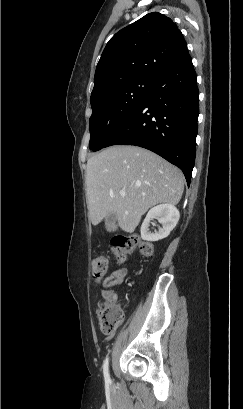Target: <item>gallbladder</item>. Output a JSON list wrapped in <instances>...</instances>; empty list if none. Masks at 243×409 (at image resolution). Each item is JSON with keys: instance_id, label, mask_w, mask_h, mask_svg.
Masks as SVG:
<instances>
[{"instance_id": "1", "label": "gallbladder", "mask_w": 243, "mask_h": 409, "mask_svg": "<svg viewBox=\"0 0 243 409\" xmlns=\"http://www.w3.org/2000/svg\"><path fill=\"white\" fill-rule=\"evenodd\" d=\"M116 215L111 214L106 218V229L107 231H111L116 223Z\"/></svg>"}]
</instances>
